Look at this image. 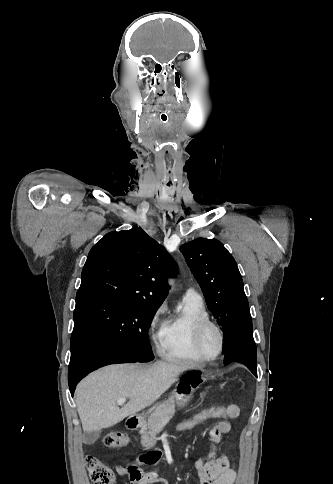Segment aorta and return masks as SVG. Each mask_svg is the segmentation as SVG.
<instances>
[{"label":"aorta","mask_w":333,"mask_h":484,"mask_svg":"<svg viewBox=\"0 0 333 484\" xmlns=\"http://www.w3.org/2000/svg\"><path fill=\"white\" fill-rule=\"evenodd\" d=\"M168 283H169V285H170L171 287H173V286H174V281H173V279H169V280H168Z\"/></svg>","instance_id":"aorta-1"}]
</instances>
